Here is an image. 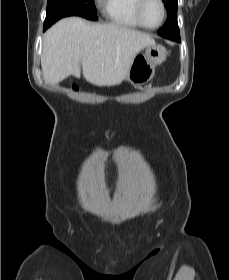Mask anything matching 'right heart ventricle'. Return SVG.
Here are the masks:
<instances>
[{"label":"right heart ventricle","instance_id":"obj_1","mask_svg":"<svg viewBox=\"0 0 229 280\" xmlns=\"http://www.w3.org/2000/svg\"><path fill=\"white\" fill-rule=\"evenodd\" d=\"M138 0H104V14L113 25L138 29L143 28L135 15Z\"/></svg>","mask_w":229,"mask_h":280}]
</instances>
